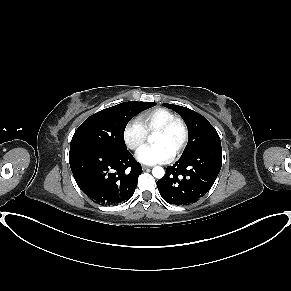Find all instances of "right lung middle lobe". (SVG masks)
<instances>
[{
	"label": "right lung middle lobe",
	"mask_w": 291,
	"mask_h": 291,
	"mask_svg": "<svg viewBox=\"0 0 291 291\" xmlns=\"http://www.w3.org/2000/svg\"><path fill=\"white\" fill-rule=\"evenodd\" d=\"M154 102H124L101 110L87 118L75 131L70 152L83 149L124 151V130L129 120Z\"/></svg>",
	"instance_id": "dd1d6c3e"
}]
</instances>
